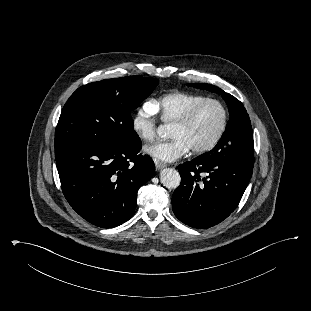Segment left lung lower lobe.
<instances>
[{"label":"left lung lower lobe","mask_w":311,"mask_h":311,"mask_svg":"<svg viewBox=\"0 0 311 311\" xmlns=\"http://www.w3.org/2000/svg\"><path fill=\"white\" fill-rule=\"evenodd\" d=\"M253 165L254 155L249 154L198 156L179 165L181 183L172 197L174 214L197 229L220 223L238 206Z\"/></svg>","instance_id":"obj_1"}]
</instances>
